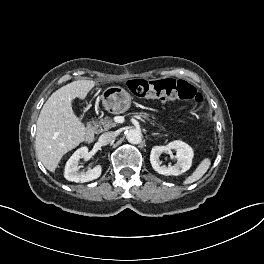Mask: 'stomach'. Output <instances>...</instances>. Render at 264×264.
Segmentation results:
<instances>
[{"label":"stomach","mask_w":264,"mask_h":264,"mask_svg":"<svg viewBox=\"0 0 264 264\" xmlns=\"http://www.w3.org/2000/svg\"><path fill=\"white\" fill-rule=\"evenodd\" d=\"M103 107L113 114L126 112L131 105V95L120 86L106 88L101 94Z\"/></svg>","instance_id":"0dacf381"}]
</instances>
